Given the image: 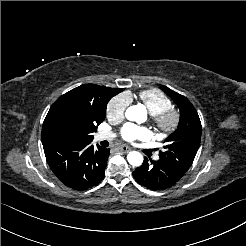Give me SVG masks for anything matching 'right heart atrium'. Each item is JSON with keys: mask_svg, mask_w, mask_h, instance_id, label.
<instances>
[{"mask_svg": "<svg viewBox=\"0 0 246 246\" xmlns=\"http://www.w3.org/2000/svg\"><path fill=\"white\" fill-rule=\"evenodd\" d=\"M130 97L127 93H121L113 97L107 104L106 113L110 121H119L126 113L130 105Z\"/></svg>", "mask_w": 246, "mask_h": 246, "instance_id": "1", "label": "right heart atrium"}]
</instances>
